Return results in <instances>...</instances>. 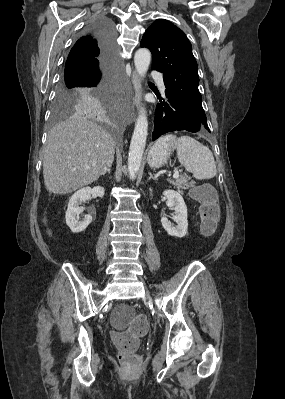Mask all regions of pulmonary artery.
I'll use <instances>...</instances> for the list:
<instances>
[{"instance_id":"e3ab8cb5","label":"pulmonary artery","mask_w":285,"mask_h":399,"mask_svg":"<svg viewBox=\"0 0 285 399\" xmlns=\"http://www.w3.org/2000/svg\"><path fill=\"white\" fill-rule=\"evenodd\" d=\"M151 76L159 82L161 90L164 91L165 85L163 83L162 75L158 72H152Z\"/></svg>"}]
</instances>
